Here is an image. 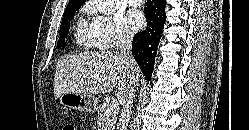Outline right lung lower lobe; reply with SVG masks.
Wrapping results in <instances>:
<instances>
[{"instance_id":"1","label":"right lung lower lobe","mask_w":249,"mask_h":130,"mask_svg":"<svg viewBox=\"0 0 249 130\" xmlns=\"http://www.w3.org/2000/svg\"><path fill=\"white\" fill-rule=\"evenodd\" d=\"M165 6V0H147L144 7L147 27L136 34L132 42V55L148 81L154 69L157 46L165 23Z\"/></svg>"}]
</instances>
